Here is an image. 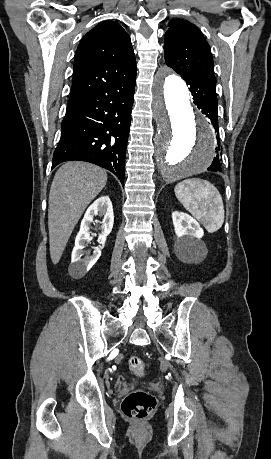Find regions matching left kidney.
I'll return each instance as SVG.
<instances>
[{"label": "left kidney", "instance_id": "left-kidney-1", "mask_svg": "<svg viewBox=\"0 0 271 459\" xmlns=\"http://www.w3.org/2000/svg\"><path fill=\"white\" fill-rule=\"evenodd\" d=\"M172 220L178 237L175 247L179 251H196L198 237L201 233L198 222L184 212H173Z\"/></svg>", "mask_w": 271, "mask_h": 459}]
</instances>
